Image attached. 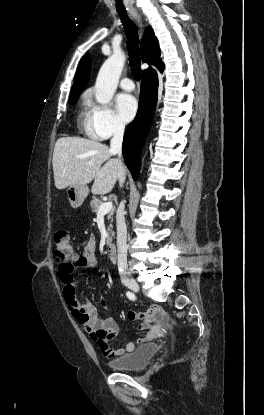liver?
Returning <instances> with one entry per match:
<instances>
[{
	"label": "liver",
	"mask_w": 264,
	"mask_h": 415,
	"mask_svg": "<svg viewBox=\"0 0 264 415\" xmlns=\"http://www.w3.org/2000/svg\"><path fill=\"white\" fill-rule=\"evenodd\" d=\"M113 154L107 145L94 140L80 137L58 139L52 160L56 188L62 190L71 185H87L94 180L93 194L111 192L120 172L117 159L111 158Z\"/></svg>",
	"instance_id": "1"
}]
</instances>
